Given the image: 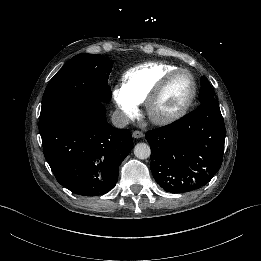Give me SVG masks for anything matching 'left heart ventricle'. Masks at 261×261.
I'll use <instances>...</instances> for the list:
<instances>
[{
    "label": "left heart ventricle",
    "mask_w": 261,
    "mask_h": 261,
    "mask_svg": "<svg viewBox=\"0 0 261 261\" xmlns=\"http://www.w3.org/2000/svg\"><path fill=\"white\" fill-rule=\"evenodd\" d=\"M192 86L184 74L177 75L157 107L159 113H171L178 110L189 98Z\"/></svg>",
    "instance_id": "b2bd125f"
}]
</instances>
